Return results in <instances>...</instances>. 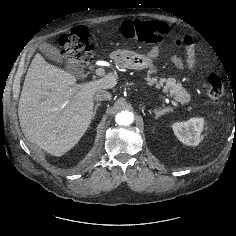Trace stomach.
<instances>
[{
  "mask_svg": "<svg viewBox=\"0 0 236 236\" xmlns=\"http://www.w3.org/2000/svg\"><path fill=\"white\" fill-rule=\"evenodd\" d=\"M110 57L119 67L128 69H146L153 63L149 56L129 50H116Z\"/></svg>",
  "mask_w": 236,
  "mask_h": 236,
  "instance_id": "stomach-1",
  "label": "stomach"
}]
</instances>
